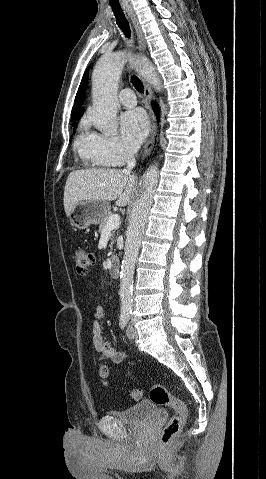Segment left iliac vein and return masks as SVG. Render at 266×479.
<instances>
[{"label": "left iliac vein", "mask_w": 266, "mask_h": 479, "mask_svg": "<svg viewBox=\"0 0 266 479\" xmlns=\"http://www.w3.org/2000/svg\"><path fill=\"white\" fill-rule=\"evenodd\" d=\"M136 335H137L136 329L132 325H129L126 330V336L129 339H134Z\"/></svg>", "instance_id": "4c4485c4"}]
</instances>
